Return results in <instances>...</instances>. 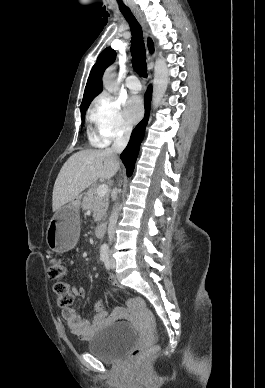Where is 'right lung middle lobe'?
Masks as SVG:
<instances>
[{
	"label": "right lung middle lobe",
	"instance_id": "1",
	"mask_svg": "<svg viewBox=\"0 0 265 388\" xmlns=\"http://www.w3.org/2000/svg\"><path fill=\"white\" fill-rule=\"evenodd\" d=\"M92 100L81 106L82 122L84 121V115Z\"/></svg>",
	"mask_w": 265,
	"mask_h": 388
}]
</instances>
